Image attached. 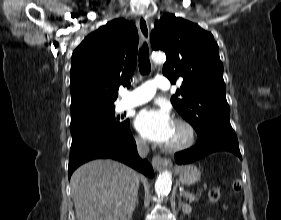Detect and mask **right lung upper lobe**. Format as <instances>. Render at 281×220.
<instances>
[{
    "mask_svg": "<svg viewBox=\"0 0 281 220\" xmlns=\"http://www.w3.org/2000/svg\"><path fill=\"white\" fill-rule=\"evenodd\" d=\"M137 49V29L123 19L108 22L82 41L71 61V119L115 108L119 86H130Z\"/></svg>",
    "mask_w": 281,
    "mask_h": 220,
    "instance_id": "cb5924a9",
    "label": "right lung upper lobe"
}]
</instances>
